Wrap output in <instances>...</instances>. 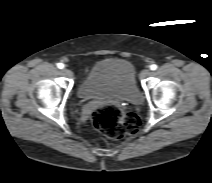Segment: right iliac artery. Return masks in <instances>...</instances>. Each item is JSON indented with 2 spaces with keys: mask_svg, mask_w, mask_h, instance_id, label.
I'll return each instance as SVG.
<instances>
[{
  "mask_svg": "<svg viewBox=\"0 0 212 183\" xmlns=\"http://www.w3.org/2000/svg\"><path fill=\"white\" fill-rule=\"evenodd\" d=\"M57 67H58L59 69H63V68H64V64H63V63H58V64H57Z\"/></svg>",
  "mask_w": 212,
  "mask_h": 183,
  "instance_id": "obj_1",
  "label": "right iliac artery"
}]
</instances>
